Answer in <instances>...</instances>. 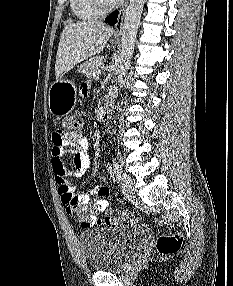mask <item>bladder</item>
Returning <instances> with one entry per match:
<instances>
[{
	"instance_id": "1",
	"label": "bladder",
	"mask_w": 233,
	"mask_h": 286,
	"mask_svg": "<svg viewBox=\"0 0 233 286\" xmlns=\"http://www.w3.org/2000/svg\"><path fill=\"white\" fill-rule=\"evenodd\" d=\"M146 231L140 225L117 229L91 228L79 236L84 259L90 270L109 272L123 269L139 251Z\"/></svg>"
}]
</instances>
